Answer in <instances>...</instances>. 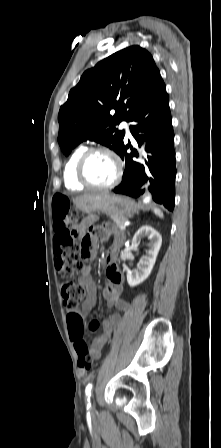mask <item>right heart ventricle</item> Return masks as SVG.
Here are the masks:
<instances>
[{"label": "right heart ventricle", "mask_w": 221, "mask_h": 448, "mask_svg": "<svg viewBox=\"0 0 221 448\" xmlns=\"http://www.w3.org/2000/svg\"><path fill=\"white\" fill-rule=\"evenodd\" d=\"M87 150L85 146L77 147L72 154L69 156L65 167H64V185L70 190H81L85 186L81 184L75 176L76 164L80 156Z\"/></svg>", "instance_id": "1"}]
</instances>
